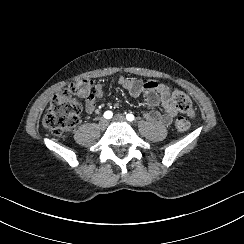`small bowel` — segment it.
<instances>
[{
	"label": "small bowel",
	"mask_w": 244,
	"mask_h": 244,
	"mask_svg": "<svg viewBox=\"0 0 244 244\" xmlns=\"http://www.w3.org/2000/svg\"><path fill=\"white\" fill-rule=\"evenodd\" d=\"M117 82L133 97L143 96L148 110L144 113V118L151 122L163 126L169 125L176 115V109L169 98V88L156 81H142L134 78L118 76ZM104 95V84L97 83L92 93L86 98L84 103L85 111L93 114L96 111V103ZM160 108V110H158Z\"/></svg>",
	"instance_id": "1"
}]
</instances>
